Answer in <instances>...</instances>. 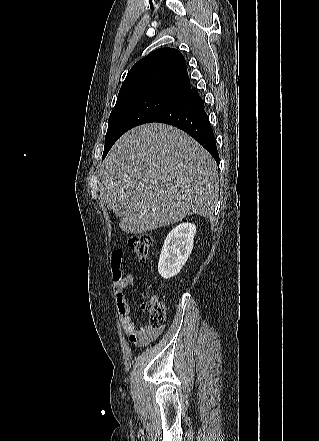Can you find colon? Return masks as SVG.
I'll list each match as a JSON object with an SVG mask.
<instances>
[{"mask_svg":"<svg viewBox=\"0 0 319 441\" xmlns=\"http://www.w3.org/2000/svg\"><path fill=\"white\" fill-rule=\"evenodd\" d=\"M152 238L148 234H136L130 237L129 246L142 261L147 262L152 248ZM114 283L120 287L122 285V272L120 264H112ZM142 308L149 314L150 326L153 328L163 327L166 319V306L162 301L150 297L142 305Z\"/></svg>","mask_w":319,"mask_h":441,"instance_id":"5ec220e1","label":"colon"}]
</instances>
